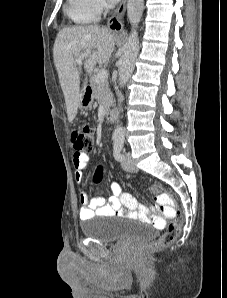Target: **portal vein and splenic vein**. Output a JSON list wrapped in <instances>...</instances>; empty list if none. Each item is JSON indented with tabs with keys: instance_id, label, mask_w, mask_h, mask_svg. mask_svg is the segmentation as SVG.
I'll list each match as a JSON object with an SVG mask.
<instances>
[{
	"instance_id": "obj_1",
	"label": "portal vein and splenic vein",
	"mask_w": 227,
	"mask_h": 298,
	"mask_svg": "<svg viewBox=\"0 0 227 298\" xmlns=\"http://www.w3.org/2000/svg\"><path fill=\"white\" fill-rule=\"evenodd\" d=\"M90 55V52H84L81 55H79V57L76 59V63L80 66L83 63V60L85 58H87ZM107 71L105 69H100L99 72L97 73L96 77H95V81L97 83H102L107 79Z\"/></svg>"
}]
</instances>
